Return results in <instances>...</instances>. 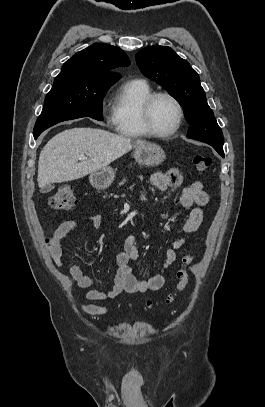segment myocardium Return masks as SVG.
<instances>
[{
  "label": "myocardium",
  "mask_w": 265,
  "mask_h": 407,
  "mask_svg": "<svg viewBox=\"0 0 265 407\" xmlns=\"http://www.w3.org/2000/svg\"><path fill=\"white\" fill-rule=\"evenodd\" d=\"M160 97H167L174 102L178 109V119L176 124L173 128L168 131H159L155 128L152 120V109L154 106L155 101ZM141 118L145 129L148 133L152 136L159 137V138H166L174 135L181 127L183 119H184V107L181 101L172 93L161 91L152 93L146 101L142 105L141 109Z\"/></svg>",
  "instance_id": "f54148a6"
}]
</instances>
